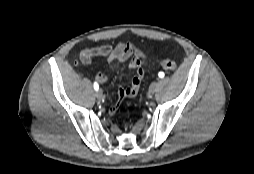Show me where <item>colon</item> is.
Instances as JSON below:
<instances>
[{"label": "colon", "mask_w": 254, "mask_h": 174, "mask_svg": "<svg viewBox=\"0 0 254 174\" xmlns=\"http://www.w3.org/2000/svg\"><path fill=\"white\" fill-rule=\"evenodd\" d=\"M160 66L167 71H175L177 68L176 63L169 59L162 60L160 62Z\"/></svg>", "instance_id": "colon-1"}]
</instances>
